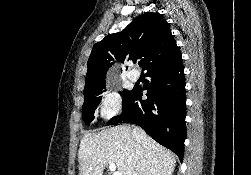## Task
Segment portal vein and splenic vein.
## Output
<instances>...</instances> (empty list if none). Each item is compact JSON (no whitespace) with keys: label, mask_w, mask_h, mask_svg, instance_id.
Wrapping results in <instances>:
<instances>
[{"label":"portal vein and splenic vein","mask_w":251,"mask_h":175,"mask_svg":"<svg viewBox=\"0 0 251 175\" xmlns=\"http://www.w3.org/2000/svg\"><path fill=\"white\" fill-rule=\"evenodd\" d=\"M109 169H110L112 175H122V173H120V171H116V165H115V163H113V161H112V163H109Z\"/></svg>","instance_id":"obj_1"}]
</instances>
